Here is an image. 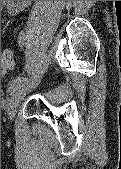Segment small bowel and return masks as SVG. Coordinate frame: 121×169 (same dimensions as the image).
Wrapping results in <instances>:
<instances>
[{
    "instance_id": "small-bowel-1",
    "label": "small bowel",
    "mask_w": 121,
    "mask_h": 169,
    "mask_svg": "<svg viewBox=\"0 0 121 169\" xmlns=\"http://www.w3.org/2000/svg\"><path fill=\"white\" fill-rule=\"evenodd\" d=\"M4 4L8 5L10 13L14 14L20 11L22 8L29 5L31 1H3Z\"/></svg>"
}]
</instances>
